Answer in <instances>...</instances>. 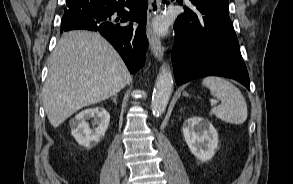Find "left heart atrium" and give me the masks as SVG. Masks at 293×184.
Listing matches in <instances>:
<instances>
[{
	"instance_id": "39dd6f15",
	"label": "left heart atrium",
	"mask_w": 293,
	"mask_h": 184,
	"mask_svg": "<svg viewBox=\"0 0 293 184\" xmlns=\"http://www.w3.org/2000/svg\"><path fill=\"white\" fill-rule=\"evenodd\" d=\"M157 28H158L159 30H162V29H163V24H162V23H158V24H157Z\"/></svg>"
}]
</instances>
